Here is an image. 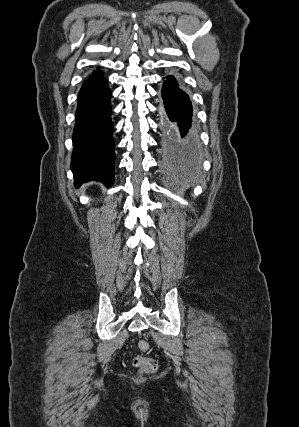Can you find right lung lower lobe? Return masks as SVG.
<instances>
[{
	"label": "right lung lower lobe",
	"mask_w": 299,
	"mask_h": 427,
	"mask_svg": "<svg viewBox=\"0 0 299 427\" xmlns=\"http://www.w3.org/2000/svg\"><path fill=\"white\" fill-rule=\"evenodd\" d=\"M111 91L102 74L84 82L76 111L71 170L80 186L91 180L106 186L114 182V140L111 121Z\"/></svg>",
	"instance_id": "obj_1"
}]
</instances>
